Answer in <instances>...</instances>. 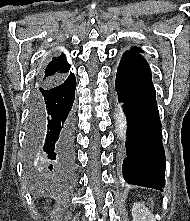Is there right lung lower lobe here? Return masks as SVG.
Returning a JSON list of instances; mask_svg holds the SVG:
<instances>
[{
  "label": "right lung lower lobe",
  "mask_w": 190,
  "mask_h": 221,
  "mask_svg": "<svg viewBox=\"0 0 190 221\" xmlns=\"http://www.w3.org/2000/svg\"><path fill=\"white\" fill-rule=\"evenodd\" d=\"M76 79L71 72L62 79L35 84L30 97L27 133L29 160L42 157L36 171L64 170L74 158L72 105Z\"/></svg>",
  "instance_id": "98d812e1"
}]
</instances>
